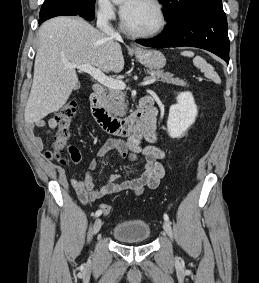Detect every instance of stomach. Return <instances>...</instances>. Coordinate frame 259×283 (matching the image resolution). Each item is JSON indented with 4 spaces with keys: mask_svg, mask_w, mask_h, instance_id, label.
Instances as JSON below:
<instances>
[{
    "mask_svg": "<svg viewBox=\"0 0 259 283\" xmlns=\"http://www.w3.org/2000/svg\"><path fill=\"white\" fill-rule=\"evenodd\" d=\"M135 56L141 64L153 70H159L166 64L163 53L155 49H137Z\"/></svg>",
    "mask_w": 259,
    "mask_h": 283,
    "instance_id": "1",
    "label": "stomach"
}]
</instances>
